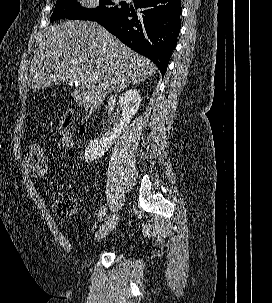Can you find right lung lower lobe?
<instances>
[{"mask_svg":"<svg viewBox=\"0 0 272 303\" xmlns=\"http://www.w3.org/2000/svg\"><path fill=\"white\" fill-rule=\"evenodd\" d=\"M115 16L97 21L124 44L152 60L164 76L180 31L181 0H138Z\"/></svg>","mask_w":272,"mask_h":303,"instance_id":"1","label":"right lung lower lobe"}]
</instances>
